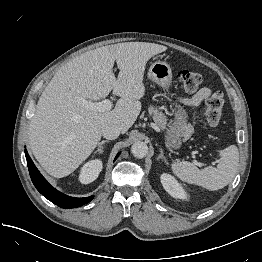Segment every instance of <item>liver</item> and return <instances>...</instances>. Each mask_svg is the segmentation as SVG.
<instances>
[{
	"instance_id": "6515ba94",
	"label": "liver",
	"mask_w": 262,
	"mask_h": 262,
	"mask_svg": "<svg viewBox=\"0 0 262 262\" xmlns=\"http://www.w3.org/2000/svg\"><path fill=\"white\" fill-rule=\"evenodd\" d=\"M166 50L147 42L103 46L55 73L38 100L28 132L30 149L48 174L62 178L74 172L99 144L104 125L115 124L123 134L128 131L141 111L146 63ZM112 90L120 97L112 110L100 112L81 104L82 99L105 98Z\"/></svg>"
}]
</instances>
